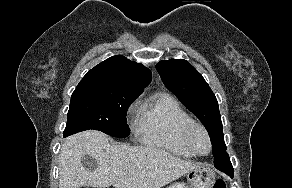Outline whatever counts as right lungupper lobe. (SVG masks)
<instances>
[{
  "label": "right lung upper lobe",
  "mask_w": 292,
  "mask_h": 188,
  "mask_svg": "<svg viewBox=\"0 0 292 188\" xmlns=\"http://www.w3.org/2000/svg\"><path fill=\"white\" fill-rule=\"evenodd\" d=\"M151 78L152 73L148 68L117 55L91 69L79 84H97L140 95Z\"/></svg>",
  "instance_id": "cb5924a9"
}]
</instances>
